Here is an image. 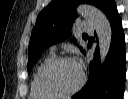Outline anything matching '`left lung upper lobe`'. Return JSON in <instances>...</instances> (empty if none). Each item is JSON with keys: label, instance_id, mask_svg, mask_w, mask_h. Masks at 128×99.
I'll list each match as a JSON object with an SVG mask.
<instances>
[{"label": "left lung upper lobe", "instance_id": "left-lung-upper-lobe-1", "mask_svg": "<svg viewBox=\"0 0 128 99\" xmlns=\"http://www.w3.org/2000/svg\"><path fill=\"white\" fill-rule=\"evenodd\" d=\"M105 0H55L42 10L31 33L28 49V73L41 53L50 45L70 36L72 22L77 17L76 6L80 3L95 5L102 9ZM73 41H75L73 39ZM82 53L85 51L80 48Z\"/></svg>", "mask_w": 128, "mask_h": 99}]
</instances>
